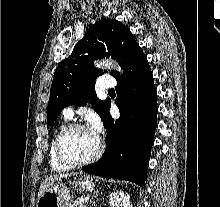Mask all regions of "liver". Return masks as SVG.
I'll list each match as a JSON object with an SVG mask.
<instances>
[{"label": "liver", "mask_w": 220, "mask_h": 207, "mask_svg": "<svg viewBox=\"0 0 220 207\" xmlns=\"http://www.w3.org/2000/svg\"><path fill=\"white\" fill-rule=\"evenodd\" d=\"M71 175L72 174H55V175L47 176L45 178V181L40 185L39 192H38V199L48 190L51 184H53L54 182L62 178H67ZM73 175H77V173H73Z\"/></svg>", "instance_id": "liver-1"}]
</instances>
